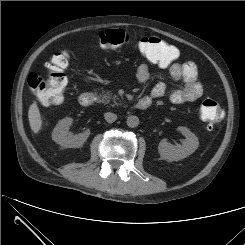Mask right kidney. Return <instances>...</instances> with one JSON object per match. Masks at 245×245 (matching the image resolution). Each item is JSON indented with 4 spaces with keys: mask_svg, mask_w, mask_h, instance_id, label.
Instances as JSON below:
<instances>
[{
    "mask_svg": "<svg viewBox=\"0 0 245 245\" xmlns=\"http://www.w3.org/2000/svg\"><path fill=\"white\" fill-rule=\"evenodd\" d=\"M73 123V119L66 117L59 121L55 126L52 139L54 142L64 148H79L81 147L90 135V130L87 129L83 133L73 135L69 129Z\"/></svg>",
    "mask_w": 245,
    "mask_h": 245,
    "instance_id": "obj_1",
    "label": "right kidney"
}]
</instances>
